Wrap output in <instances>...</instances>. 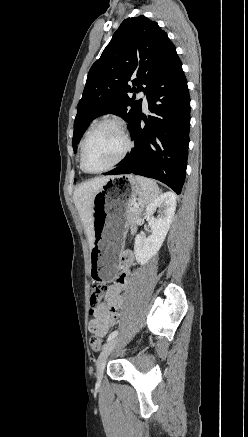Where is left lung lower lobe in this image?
I'll return each mask as SVG.
<instances>
[{
	"mask_svg": "<svg viewBox=\"0 0 248 437\" xmlns=\"http://www.w3.org/2000/svg\"><path fill=\"white\" fill-rule=\"evenodd\" d=\"M146 94L151 115L147 119L140 112L133 124L134 150L105 175L133 173L154 178L180 194L187 167L190 97L179 57Z\"/></svg>",
	"mask_w": 248,
	"mask_h": 437,
	"instance_id": "left-lung-lower-lobe-1",
	"label": "left lung lower lobe"
}]
</instances>
